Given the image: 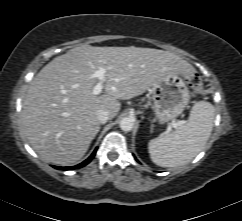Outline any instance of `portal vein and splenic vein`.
I'll return each mask as SVG.
<instances>
[{"mask_svg": "<svg viewBox=\"0 0 242 221\" xmlns=\"http://www.w3.org/2000/svg\"><path fill=\"white\" fill-rule=\"evenodd\" d=\"M105 73H106V69L104 68H100L98 70H96L94 72V74L92 75V77L97 78L98 79V83L94 86L92 93L94 95H99L103 88H104V81H105ZM181 123L177 122V123H173L171 126L174 128H177V126H179Z\"/></svg>", "mask_w": 242, "mask_h": 221, "instance_id": "obj_1", "label": "portal vein and splenic vein"}]
</instances>
